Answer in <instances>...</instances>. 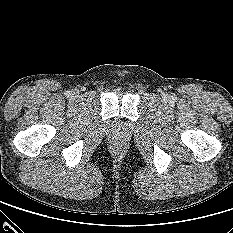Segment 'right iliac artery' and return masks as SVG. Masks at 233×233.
<instances>
[{
    "mask_svg": "<svg viewBox=\"0 0 233 233\" xmlns=\"http://www.w3.org/2000/svg\"><path fill=\"white\" fill-rule=\"evenodd\" d=\"M65 95H66V96H69V95H70V91H66V92H65Z\"/></svg>",
    "mask_w": 233,
    "mask_h": 233,
    "instance_id": "82829eb1",
    "label": "right iliac artery"
}]
</instances>
